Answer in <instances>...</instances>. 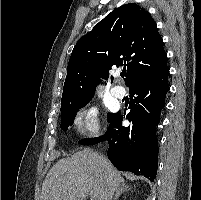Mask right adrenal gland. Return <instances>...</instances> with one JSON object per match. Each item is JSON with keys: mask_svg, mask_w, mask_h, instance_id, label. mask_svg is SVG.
Segmentation results:
<instances>
[{"mask_svg": "<svg viewBox=\"0 0 201 200\" xmlns=\"http://www.w3.org/2000/svg\"><path fill=\"white\" fill-rule=\"evenodd\" d=\"M130 189H131V188H130L129 186H126V185L120 187V188L116 191V194H115L113 200H118V198L120 197V195H122L123 193H126V192L130 191Z\"/></svg>", "mask_w": 201, "mask_h": 200, "instance_id": "2a0ac1e0", "label": "right adrenal gland"}]
</instances>
